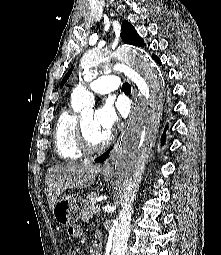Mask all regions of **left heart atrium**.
I'll return each instance as SVG.
<instances>
[{
	"label": "left heart atrium",
	"instance_id": "left-heart-atrium-1",
	"mask_svg": "<svg viewBox=\"0 0 221 255\" xmlns=\"http://www.w3.org/2000/svg\"><path fill=\"white\" fill-rule=\"evenodd\" d=\"M117 121L118 116L113 106L109 103L104 104L95 112V122L97 126L108 135L111 133Z\"/></svg>",
	"mask_w": 221,
	"mask_h": 255
}]
</instances>
